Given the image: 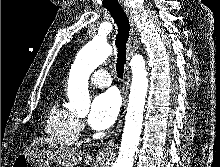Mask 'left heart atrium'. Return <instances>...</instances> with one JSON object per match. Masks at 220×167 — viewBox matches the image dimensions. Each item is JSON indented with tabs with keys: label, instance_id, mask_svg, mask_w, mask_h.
<instances>
[{
	"label": "left heart atrium",
	"instance_id": "1",
	"mask_svg": "<svg viewBox=\"0 0 220 167\" xmlns=\"http://www.w3.org/2000/svg\"><path fill=\"white\" fill-rule=\"evenodd\" d=\"M120 106L121 99L116 91L108 90L99 94L92 103L88 123L96 130L109 128L117 119Z\"/></svg>",
	"mask_w": 220,
	"mask_h": 167
}]
</instances>
